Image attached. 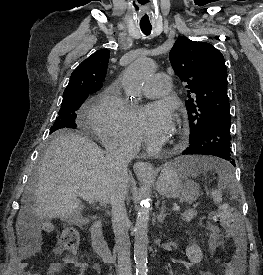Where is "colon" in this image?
Instances as JSON below:
<instances>
[{
	"label": "colon",
	"instance_id": "colon-1",
	"mask_svg": "<svg viewBox=\"0 0 263 275\" xmlns=\"http://www.w3.org/2000/svg\"><path fill=\"white\" fill-rule=\"evenodd\" d=\"M213 218L223 227L231 230L235 229L234 212L230 207L223 206L216 213ZM61 243L63 247L69 252L75 254L80 244V234L74 227L67 226L61 233ZM243 267L241 262H231L225 267V275H242ZM202 275H209V272H204Z\"/></svg>",
	"mask_w": 263,
	"mask_h": 275
}]
</instances>
